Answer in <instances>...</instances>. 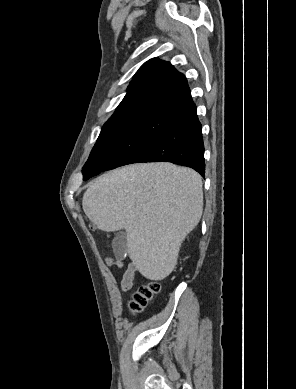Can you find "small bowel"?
Wrapping results in <instances>:
<instances>
[{
  "mask_svg": "<svg viewBox=\"0 0 296 389\" xmlns=\"http://www.w3.org/2000/svg\"><path fill=\"white\" fill-rule=\"evenodd\" d=\"M121 264L122 263L119 262V265ZM136 272L137 269L134 264H129L127 266L121 280V289L123 291H127L132 287Z\"/></svg>",
  "mask_w": 296,
  "mask_h": 389,
  "instance_id": "c3829d8e",
  "label": "small bowel"
}]
</instances>
